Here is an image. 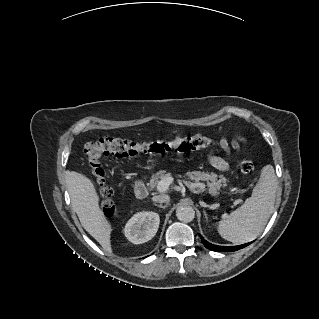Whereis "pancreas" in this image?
Segmentation results:
<instances>
[{"mask_svg":"<svg viewBox=\"0 0 319 319\" xmlns=\"http://www.w3.org/2000/svg\"><path fill=\"white\" fill-rule=\"evenodd\" d=\"M166 176H171L170 173H167L165 170H160L159 172L155 173L150 180L151 186H156L159 180L163 179ZM219 178V179H218ZM186 179H191L198 184L200 181H205L208 186V191L212 195H217L222 185H226L227 179L223 176H218L215 173L209 172H201V171H193L189 173ZM186 185L190 186V182H185Z\"/></svg>","mask_w":319,"mask_h":319,"instance_id":"pancreas-1","label":"pancreas"}]
</instances>
